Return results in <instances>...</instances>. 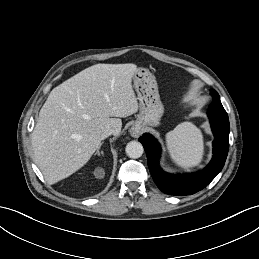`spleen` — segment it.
Masks as SVG:
<instances>
[{
  "mask_svg": "<svg viewBox=\"0 0 259 259\" xmlns=\"http://www.w3.org/2000/svg\"><path fill=\"white\" fill-rule=\"evenodd\" d=\"M171 159L182 168L198 165L204 154L203 135L192 122H183L165 136Z\"/></svg>",
  "mask_w": 259,
  "mask_h": 259,
  "instance_id": "3e777b00",
  "label": "spleen"
}]
</instances>
